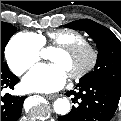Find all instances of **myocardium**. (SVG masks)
I'll return each mask as SVG.
<instances>
[{
    "instance_id": "myocardium-1",
    "label": "myocardium",
    "mask_w": 121,
    "mask_h": 121,
    "mask_svg": "<svg viewBox=\"0 0 121 121\" xmlns=\"http://www.w3.org/2000/svg\"><path fill=\"white\" fill-rule=\"evenodd\" d=\"M55 50L63 52L69 56H77L79 58L84 56L89 57L88 62L84 66L68 75V78L71 80H81L87 76L95 69L99 61L98 49L89 43L82 42L71 45H59Z\"/></svg>"
}]
</instances>
